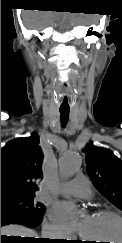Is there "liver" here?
<instances>
[{
	"instance_id": "liver-1",
	"label": "liver",
	"mask_w": 122,
	"mask_h": 243,
	"mask_svg": "<svg viewBox=\"0 0 122 243\" xmlns=\"http://www.w3.org/2000/svg\"><path fill=\"white\" fill-rule=\"evenodd\" d=\"M1 235L38 238L34 230L21 225L3 226L1 227ZM28 239H33V238H28Z\"/></svg>"
}]
</instances>
